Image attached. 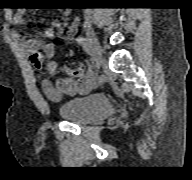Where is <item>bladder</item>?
Here are the masks:
<instances>
[{
  "mask_svg": "<svg viewBox=\"0 0 192 180\" xmlns=\"http://www.w3.org/2000/svg\"><path fill=\"white\" fill-rule=\"evenodd\" d=\"M59 116L76 124H86L99 121L114 113V106L103 94H91L73 99L57 110Z\"/></svg>",
  "mask_w": 192,
  "mask_h": 180,
  "instance_id": "1",
  "label": "bladder"
}]
</instances>
